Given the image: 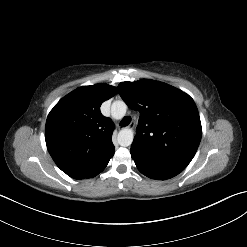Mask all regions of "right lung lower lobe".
I'll return each mask as SVG.
<instances>
[{"mask_svg":"<svg viewBox=\"0 0 247 247\" xmlns=\"http://www.w3.org/2000/svg\"><path fill=\"white\" fill-rule=\"evenodd\" d=\"M112 156H113V155H112ZM112 156H111V157H112ZM111 157H110V158H111ZM110 158H109L107 161H105L100 167H98L95 171H93L92 173H90L89 175H87V176L84 177V178H87V179H88V178H92V177L98 175L100 172H102V171L104 170V168L107 166V164H108ZM84 178H82V179H84Z\"/></svg>","mask_w":247,"mask_h":247,"instance_id":"right-lung-lower-lobe-1","label":"right lung lower lobe"}]
</instances>
